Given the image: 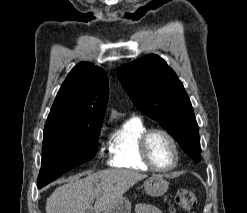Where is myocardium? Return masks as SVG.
Here are the masks:
<instances>
[{
	"mask_svg": "<svg viewBox=\"0 0 247 213\" xmlns=\"http://www.w3.org/2000/svg\"><path fill=\"white\" fill-rule=\"evenodd\" d=\"M154 134L164 135L171 143L174 150V162L170 167L161 168L158 167L151 159L149 154V141ZM139 154L141 160L153 171L167 173L174 170L180 161V150L178 143L174 136L167 130L162 128L147 129L140 137L139 140Z\"/></svg>",
	"mask_w": 247,
	"mask_h": 213,
	"instance_id": "obj_1",
	"label": "myocardium"
}]
</instances>
